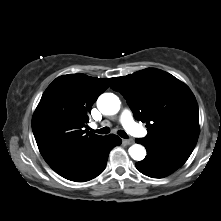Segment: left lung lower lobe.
Returning <instances> with one entry per match:
<instances>
[{
  "mask_svg": "<svg viewBox=\"0 0 221 221\" xmlns=\"http://www.w3.org/2000/svg\"><path fill=\"white\" fill-rule=\"evenodd\" d=\"M145 146L147 156L136 163V168L146 176L163 178L180 168L191 155L197 140L177 139L152 142L143 138L136 139Z\"/></svg>",
  "mask_w": 221,
  "mask_h": 221,
  "instance_id": "1",
  "label": "left lung lower lobe"
}]
</instances>
